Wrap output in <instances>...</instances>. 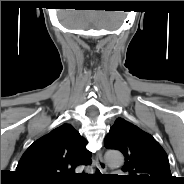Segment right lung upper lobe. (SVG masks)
I'll list each match as a JSON object with an SVG mask.
<instances>
[{
  "instance_id": "1",
  "label": "right lung upper lobe",
  "mask_w": 184,
  "mask_h": 184,
  "mask_svg": "<svg viewBox=\"0 0 184 184\" xmlns=\"http://www.w3.org/2000/svg\"><path fill=\"white\" fill-rule=\"evenodd\" d=\"M87 141L63 124L35 141L21 157L16 172L28 182L58 184L72 180L75 168L91 164Z\"/></svg>"
}]
</instances>
